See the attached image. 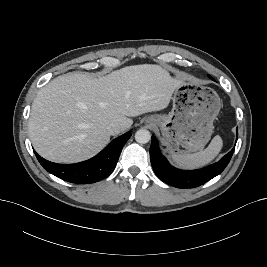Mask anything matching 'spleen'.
<instances>
[{"label": "spleen", "instance_id": "obj_1", "mask_svg": "<svg viewBox=\"0 0 267 267\" xmlns=\"http://www.w3.org/2000/svg\"><path fill=\"white\" fill-rule=\"evenodd\" d=\"M223 141L219 135L215 136L208 147L193 154H173V161L184 168H198L211 162L221 151Z\"/></svg>", "mask_w": 267, "mask_h": 267}]
</instances>
